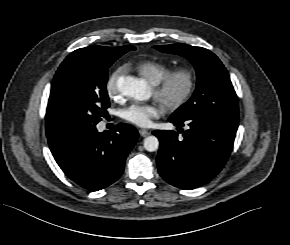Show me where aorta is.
<instances>
[{
    "instance_id": "762f6f07",
    "label": "aorta",
    "mask_w": 290,
    "mask_h": 245,
    "mask_svg": "<svg viewBox=\"0 0 290 245\" xmlns=\"http://www.w3.org/2000/svg\"><path fill=\"white\" fill-rule=\"evenodd\" d=\"M119 91L128 97L136 100H147L150 97V89L143 79L132 76L121 77L117 83ZM144 148L149 152H154L159 148V140L155 136H148L144 139Z\"/></svg>"
}]
</instances>
